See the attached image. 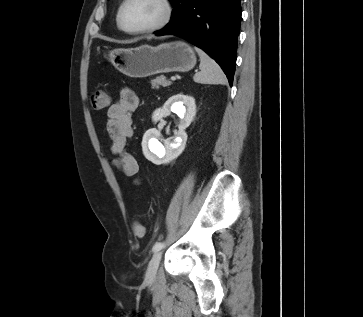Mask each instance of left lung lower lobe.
<instances>
[{"instance_id": "0a47b994", "label": "left lung lower lobe", "mask_w": 363, "mask_h": 317, "mask_svg": "<svg viewBox=\"0 0 363 317\" xmlns=\"http://www.w3.org/2000/svg\"><path fill=\"white\" fill-rule=\"evenodd\" d=\"M171 21L155 35H177L206 51L223 69L230 85L236 67L240 0H173Z\"/></svg>"}]
</instances>
